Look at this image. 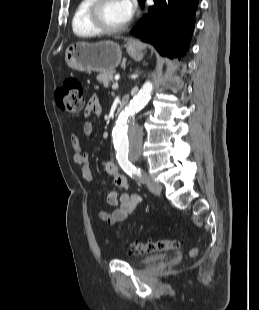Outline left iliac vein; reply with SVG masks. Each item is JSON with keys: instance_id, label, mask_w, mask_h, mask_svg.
<instances>
[{"instance_id": "4c4485c4", "label": "left iliac vein", "mask_w": 259, "mask_h": 310, "mask_svg": "<svg viewBox=\"0 0 259 310\" xmlns=\"http://www.w3.org/2000/svg\"><path fill=\"white\" fill-rule=\"evenodd\" d=\"M145 181H146V185L148 187V189L156 194V195H159L162 191V187H161V184L154 181L153 179H151L149 176H145L144 177Z\"/></svg>"}]
</instances>
